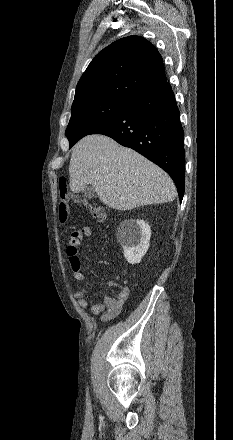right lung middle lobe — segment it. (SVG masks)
<instances>
[{"label": "right lung middle lobe", "mask_w": 233, "mask_h": 440, "mask_svg": "<svg viewBox=\"0 0 233 440\" xmlns=\"http://www.w3.org/2000/svg\"><path fill=\"white\" fill-rule=\"evenodd\" d=\"M128 100L113 98H90L74 102L71 118L66 129V136L71 148L82 137L110 121Z\"/></svg>", "instance_id": "right-lung-middle-lobe-1"}]
</instances>
